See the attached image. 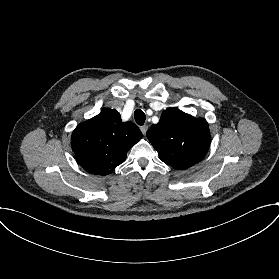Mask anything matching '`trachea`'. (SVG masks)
<instances>
[{
  "mask_svg": "<svg viewBox=\"0 0 279 279\" xmlns=\"http://www.w3.org/2000/svg\"><path fill=\"white\" fill-rule=\"evenodd\" d=\"M134 118L138 125H143L146 120L144 112L140 109L135 110Z\"/></svg>",
  "mask_w": 279,
  "mask_h": 279,
  "instance_id": "obj_1",
  "label": "trachea"
}]
</instances>
